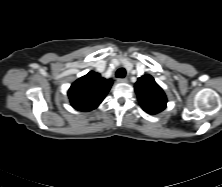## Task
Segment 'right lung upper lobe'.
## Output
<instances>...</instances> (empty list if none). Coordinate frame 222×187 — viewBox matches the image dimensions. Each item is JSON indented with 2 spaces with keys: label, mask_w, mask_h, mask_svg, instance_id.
Wrapping results in <instances>:
<instances>
[{
  "label": "right lung upper lobe",
  "mask_w": 222,
  "mask_h": 187,
  "mask_svg": "<svg viewBox=\"0 0 222 187\" xmlns=\"http://www.w3.org/2000/svg\"><path fill=\"white\" fill-rule=\"evenodd\" d=\"M113 81L102 78L99 73L90 71L76 80L68 90L71 105L79 111L95 109L105 98Z\"/></svg>",
  "instance_id": "obj_1"
}]
</instances>
